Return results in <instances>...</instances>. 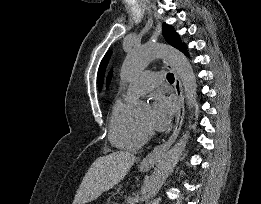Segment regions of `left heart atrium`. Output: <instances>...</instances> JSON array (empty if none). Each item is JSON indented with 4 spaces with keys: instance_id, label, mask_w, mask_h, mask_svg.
<instances>
[{
    "instance_id": "left-heart-atrium-1",
    "label": "left heart atrium",
    "mask_w": 261,
    "mask_h": 204,
    "mask_svg": "<svg viewBox=\"0 0 261 204\" xmlns=\"http://www.w3.org/2000/svg\"><path fill=\"white\" fill-rule=\"evenodd\" d=\"M174 113L173 101L163 95H155L152 103L150 126L157 131L166 130Z\"/></svg>"
}]
</instances>
